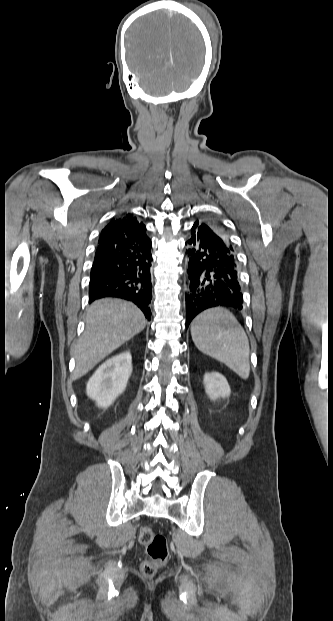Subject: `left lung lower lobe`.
Returning a JSON list of instances; mask_svg holds the SVG:
<instances>
[{"label": "left lung lower lobe", "instance_id": "left-lung-lower-lobe-1", "mask_svg": "<svg viewBox=\"0 0 333 621\" xmlns=\"http://www.w3.org/2000/svg\"><path fill=\"white\" fill-rule=\"evenodd\" d=\"M187 243L190 291L186 295V327L197 314L211 307L241 309L243 295L235 252L205 225L194 224Z\"/></svg>", "mask_w": 333, "mask_h": 621}]
</instances>
